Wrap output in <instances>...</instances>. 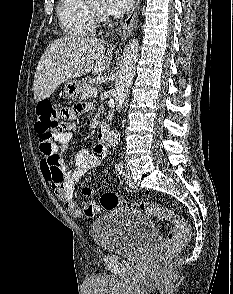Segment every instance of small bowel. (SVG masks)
<instances>
[{"label": "small bowel", "instance_id": "small-bowel-1", "mask_svg": "<svg viewBox=\"0 0 233 294\" xmlns=\"http://www.w3.org/2000/svg\"><path fill=\"white\" fill-rule=\"evenodd\" d=\"M82 112L81 104H76L74 108H61L60 129L67 130L55 135L51 149L41 150L40 162L45 180L69 213L76 218L92 217L99 210L98 205L90 200L94 194L93 188H83L82 194L88 200L82 208H79L74 200V191L78 180L90 170L98 167L105 157L104 148L99 144L95 145L92 150L81 149L75 156H64V150L72 139V131L76 122H79L78 115ZM66 161H73V163H66Z\"/></svg>", "mask_w": 233, "mask_h": 294}]
</instances>
